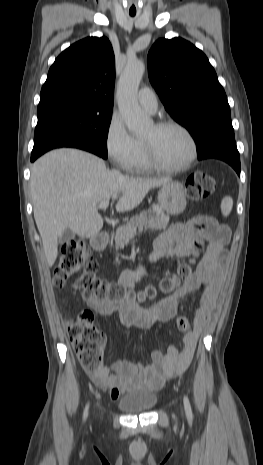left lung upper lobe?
Returning a JSON list of instances; mask_svg holds the SVG:
<instances>
[{"instance_id": "obj_1", "label": "left lung upper lobe", "mask_w": 263, "mask_h": 465, "mask_svg": "<svg viewBox=\"0 0 263 465\" xmlns=\"http://www.w3.org/2000/svg\"><path fill=\"white\" fill-rule=\"evenodd\" d=\"M149 79L165 109L188 129L203 152L234 138L225 91L205 54L182 38L159 39L148 54Z\"/></svg>"}]
</instances>
